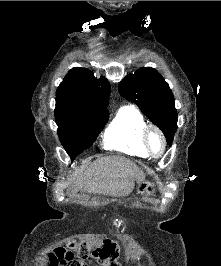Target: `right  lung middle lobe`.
I'll use <instances>...</instances> for the list:
<instances>
[{"instance_id": "right-lung-middle-lobe-1", "label": "right lung middle lobe", "mask_w": 221, "mask_h": 266, "mask_svg": "<svg viewBox=\"0 0 221 266\" xmlns=\"http://www.w3.org/2000/svg\"><path fill=\"white\" fill-rule=\"evenodd\" d=\"M108 118L109 114H82L68 103L56 101L58 136L72 160L95 142Z\"/></svg>"}]
</instances>
